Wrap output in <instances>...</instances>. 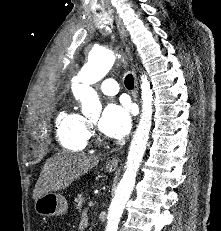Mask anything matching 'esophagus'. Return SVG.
I'll list each match as a JSON object with an SVG mask.
<instances>
[{
    "label": "esophagus",
    "instance_id": "1",
    "mask_svg": "<svg viewBox=\"0 0 221 231\" xmlns=\"http://www.w3.org/2000/svg\"><path fill=\"white\" fill-rule=\"evenodd\" d=\"M116 24H117V28L119 31V34L121 36V39L123 40L124 44L126 45V50L128 52V54L130 55V47L127 44V40H128V35L127 32L125 30V26L123 25L122 21L118 18H116ZM131 60H133V58L131 57ZM133 75H134V82H135V88H134V98L137 99L138 97V82H137V76H136V72L135 69L133 68ZM119 162V158L118 157H113L111 158L107 165L110 167H116L118 165Z\"/></svg>",
    "mask_w": 221,
    "mask_h": 231
}]
</instances>
